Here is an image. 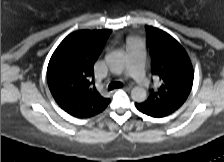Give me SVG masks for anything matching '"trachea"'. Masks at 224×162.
<instances>
[{"label":"trachea","instance_id":"obj_1","mask_svg":"<svg viewBox=\"0 0 224 162\" xmlns=\"http://www.w3.org/2000/svg\"><path fill=\"white\" fill-rule=\"evenodd\" d=\"M121 87H122V83L115 81L109 84L108 90L110 91V90L121 88Z\"/></svg>","mask_w":224,"mask_h":162}]
</instances>
